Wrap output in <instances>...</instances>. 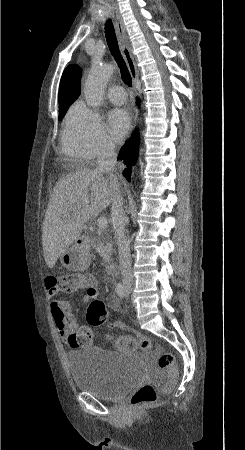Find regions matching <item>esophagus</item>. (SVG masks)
I'll list each match as a JSON object with an SVG mask.
<instances>
[{
	"instance_id": "obj_1",
	"label": "esophagus",
	"mask_w": 245,
	"mask_h": 450,
	"mask_svg": "<svg viewBox=\"0 0 245 450\" xmlns=\"http://www.w3.org/2000/svg\"><path fill=\"white\" fill-rule=\"evenodd\" d=\"M113 19H114V26L116 29L118 43H119L122 55L127 63V66L130 71V74L132 76V79H133V90L136 92L135 80L138 78L137 66H136L134 57L132 55V49L128 42L126 28L124 26L123 20H122L121 15L119 14V11L116 6L114 7ZM137 122H138V111H136V114H135L133 128L136 126Z\"/></svg>"
}]
</instances>
